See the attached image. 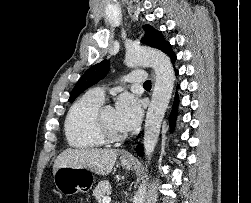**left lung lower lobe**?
I'll list each match as a JSON object with an SVG mask.
<instances>
[{"instance_id":"1","label":"left lung lower lobe","mask_w":251,"mask_h":203,"mask_svg":"<svg viewBox=\"0 0 251 203\" xmlns=\"http://www.w3.org/2000/svg\"><path fill=\"white\" fill-rule=\"evenodd\" d=\"M164 53H166L170 58H171V61L172 63H174L177 59L176 55L174 54V52L172 51V48H171V45L170 43L165 47V49L163 50ZM176 74L178 75V71L175 70ZM178 97H177V94L175 96V101H174V105H173V109H172V112L169 116V119H170V128L171 130L174 128V121H175V118H176V115H177V106H178ZM137 153L139 155H142L143 154V149H142V146H138L137 147Z\"/></svg>"}]
</instances>
